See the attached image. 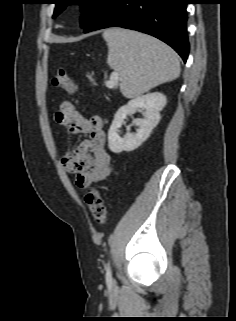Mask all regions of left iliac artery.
Segmentation results:
<instances>
[{
  "mask_svg": "<svg viewBox=\"0 0 236 321\" xmlns=\"http://www.w3.org/2000/svg\"><path fill=\"white\" fill-rule=\"evenodd\" d=\"M105 270H106V282H107V285L111 286L112 283H113V279H112L111 266H110L109 263L105 266Z\"/></svg>",
  "mask_w": 236,
  "mask_h": 321,
  "instance_id": "44dca946",
  "label": "left iliac artery"
}]
</instances>
